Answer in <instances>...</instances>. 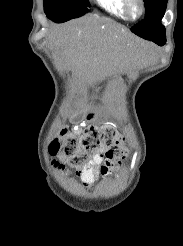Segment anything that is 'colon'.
Instances as JSON below:
<instances>
[{"label": "colon", "instance_id": "obj_1", "mask_svg": "<svg viewBox=\"0 0 183 246\" xmlns=\"http://www.w3.org/2000/svg\"><path fill=\"white\" fill-rule=\"evenodd\" d=\"M123 137L112 126H87L80 136L65 127L56 130L50 150L75 169L84 168L98 152H105L102 175L114 173L124 155Z\"/></svg>", "mask_w": 183, "mask_h": 246}]
</instances>
